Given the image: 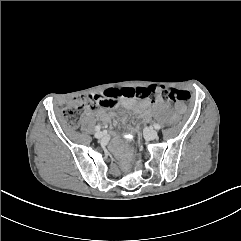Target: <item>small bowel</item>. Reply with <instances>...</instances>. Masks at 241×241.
I'll return each instance as SVG.
<instances>
[{
    "mask_svg": "<svg viewBox=\"0 0 241 241\" xmlns=\"http://www.w3.org/2000/svg\"><path fill=\"white\" fill-rule=\"evenodd\" d=\"M118 100L111 106H103V105H100L102 106L103 108H100L96 111L98 117L103 120V121H106L110 118V113H108L104 107H113L117 104ZM123 104L127 107V108H130L132 110H136V111H141V112H144L146 111V109L150 106L151 102L148 101V100H143V101H140V102H137L136 100L132 99V98H125L123 99ZM91 109V108H89ZM177 109L179 111H182L183 110V106L182 105H179L177 107Z\"/></svg>",
    "mask_w": 241,
    "mask_h": 241,
    "instance_id": "1",
    "label": "small bowel"
}]
</instances>
